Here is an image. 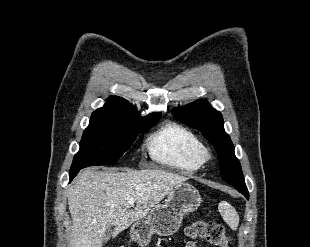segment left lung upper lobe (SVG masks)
Returning a JSON list of instances; mask_svg holds the SVG:
<instances>
[{
  "label": "left lung upper lobe",
  "instance_id": "5c2ea615",
  "mask_svg": "<svg viewBox=\"0 0 310 247\" xmlns=\"http://www.w3.org/2000/svg\"><path fill=\"white\" fill-rule=\"evenodd\" d=\"M174 117L201 131L215 147L223 180L231 185L244 183L240 162L235 156L230 137L224 131V122L220 112L212 108L206 100H197L175 109Z\"/></svg>",
  "mask_w": 310,
  "mask_h": 247
}]
</instances>
